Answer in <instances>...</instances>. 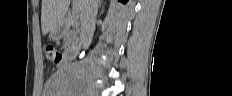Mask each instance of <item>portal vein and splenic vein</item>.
<instances>
[{
  "instance_id": "1",
  "label": "portal vein and splenic vein",
  "mask_w": 232,
  "mask_h": 96,
  "mask_svg": "<svg viewBox=\"0 0 232 96\" xmlns=\"http://www.w3.org/2000/svg\"><path fill=\"white\" fill-rule=\"evenodd\" d=\"M74 9L78 6V0H73Z\"/></svg>"
}]
</instances>
